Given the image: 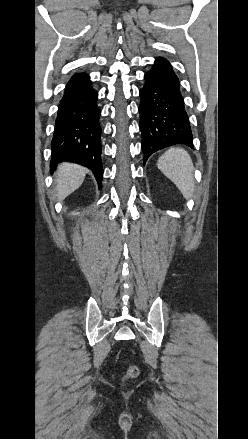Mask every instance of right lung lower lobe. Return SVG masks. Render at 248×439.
Listing matches in <instances>:
<instances>
[{"label":"right lung lower lobe","mask_w":248,"mask_h":439,"mask_svg":"<svg viewBox=\"0 0 248 439\" xmlns=\"http://www.w3.org/2000/svg\"><path fill=\"white\" fill-rule=\"evenodd\" d=\"M98 93L86 73L75 74L60 101L52 139V169L62 161L86 166L93 171L99 188L103 176L101 161L100 109Z\"/></svg>","instance_id":"1"}]
</instances>
